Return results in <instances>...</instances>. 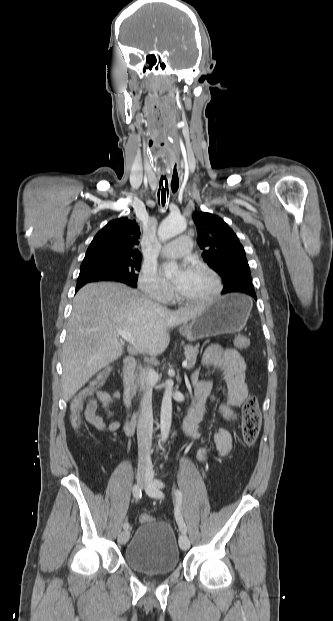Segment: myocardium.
<instances>
[{"instance_id":"1","label":"myocardium","mask_w":333,"mask_h":621,"mask_svg":"<svg viewBox=\"0 0 333 621\" xmlns=\"http://www.w3.org/2000/svg\"><path fill=\"white\" fill-rule=\"evenodd\" d=\"M192 270L203 272L211 277L215 285L213 292L209 296L202 297V298H187V297L181 296L179 293H176L175 295L176 299L181 303L194 304V305L209 304L215 301L220 296L223 290V284H222L220 276L217 274L215 270H213L210 266H208L205 263L193 264Z\"/></svg>"}]
</instances>
